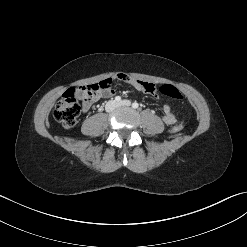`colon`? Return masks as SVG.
<instances>
[{"label":"colon","mask_w":247,"mask_h":247,"mask_svg":"<svg viewBox=\"0 0 247 247\" xmlns=\"http://www.w3.org/2000/svg\"><path fill=\"white\" fill-rule=\"evenodd\" d=\"M111 80L105 79L97 83L89 84L80 89H70L58 101L53 110V116L65 129H71L75 126L80 114V106L78 103V93L82 92L87 100L94 102L99 96L111 88ZM160 92L172 99L181 100L183 98L180 91L173 85L165 84L159 88ZM183 129L181 122L175 123L171 127L172 133H179Z\"/></svg>","instance_id":"1"}]
</instances>
